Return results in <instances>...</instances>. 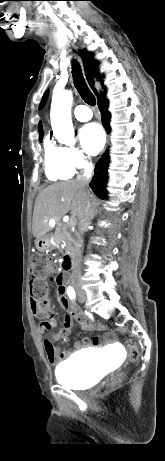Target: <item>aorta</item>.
Returning a JSON list of instances; mask_svg holds the SVG:
<instances>
[{"label":"aorta","instance_id":"aorta-1","mask_svg":"<svg viewBox=\"0 0 165 461\" xmlns=\"http://www.w3.org/2000/svg\"><path fill=\"white\" fill-rule=\"evenodd\" d=\"M72 92L54 91L51 103V126L56 138L63 144H75L74 128L71 120Z\"/></svg>","mask_w":165,"mask_h":461}]
</instances>
